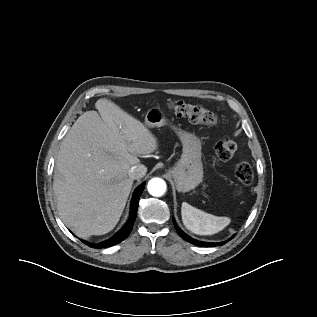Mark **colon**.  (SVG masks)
<instances>
[{
	"instance_id": "1",
	"label": "colon",
	"mask_w": 317,
	"mask_h": 317,
	"mask_svg": "<svg viewBox=\"0 0 317 317\" xmlns=\"http://www.w3.org/2000/svg\"><path fill=\"white\" fill-rule=\"evenodd\" d=\"M171 112L178 117H187L189 120L213 126L218 123L217 116L200 104H191L182 100L174 101L170 104ZM236 151V142L230 138H224L215 146L216 163L230 160ZM235 175L238 182L248 185L253 180V168L250 163L241 161L236 165Z\"/></svg>"
}]
</instances>
